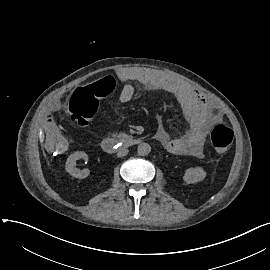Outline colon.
Masks as SVG:
<instances>
[{
	"instance_id": "obj_1",
	"label": "colon",
	"mask_w": 270,
	"mask_h": 270,
	"mask_svg": "<svg viewBox=\"0 0 270 270\" xmlns=\"http://www.w3.org/2000/svg\"><path fill=\"white\" fill-rule=\"evenodd\" d=\"M113 85L114 80L110 76H105L101 83L77 88L69 101L71 121L79 126L91 123L99 108L100 99L108 97L112 93ZM210 138L214 146L213 153L217 157H222L231 146L234 134L226 125L218 124L212 129Z\"/></svg>"
}]
</instances>
